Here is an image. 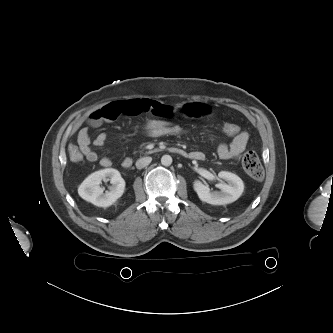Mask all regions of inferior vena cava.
Masks as SVG:
<instances>
[{"mask_svg": "<svg viewBox=\"0 0 333 333\" xmlns=\"http://www.w3.org/2000/svg\"><path fill=\"white\" fill-rule=\"evenodd\" d=\"M152 161V158L151 157H143V158H140L136 161V167L137 169H142L146 166H148Z\"/></svg>", "mask_w": 333, "mask_h": 333, "instance_id": "obj_1", "label": "inferior vena cava"}]
</instances>
